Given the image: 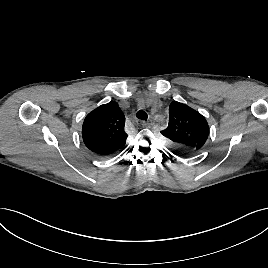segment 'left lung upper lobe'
Instances as JSON below:
<instances>
[{
  "label": "left lung upper lobe",
  "instance_id": "1",
  "mask_svg": "<svg viewBox=\"0 0 268 268\" xmlns=\"http://www.w3.org/2000/svg\"><path fill=\"white\" fill-rule=\"evenodd\" d=\"M161 134L171 140L176 148L199 152L207 141L209 126L199 112L173 101L169 106L168 127L162 130Z\"/></svg>",
  "mask_w": 268,
  "mask_h": 268
}]
</instances>
